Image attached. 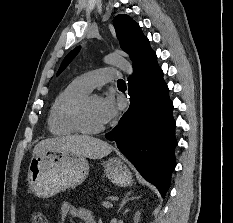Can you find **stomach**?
I'll list each match as a JSON object with an SVG mask.
<instances>
[{
	"label": "stomach",
	"mask_w": 233,
	"mask_h": 223,
	"mask_svg": "<svg viewBox=\"0 0 233 223\" xmlns=\"http://www.w3.org/2000/svg\"><path fill=\"white\" fill-rule=\"evenodd\" d=\"M104 173L115 185H132L130 169L119 157L103 161ZM90 165L85 155L63 149H41L30 159L29 189L36 197H53L65 189H74L85 181Z\"/></svg>",
	"instance_id": "stomach-1"
}]
</instances>
